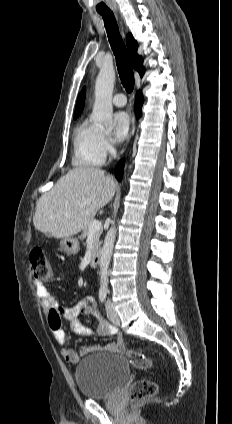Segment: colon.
<instances>
[{"label":"colon","mask_w":232,"mask_h":424,"mask_svg":"<svg viewBox=\"0 0 232 424\" xmlns=\"http://www.w3.org/2000/svg\"><path fill=\"white\" fill-rule=\"evenodd\" d=\"M30 263L34 278L40 281H51L54 278V268L43 250H32L30 253ZM127 356L131 364L138 369L151 370L154 367L153 361L140 352L128 350ZM157 390L158 386L155 380H137L130 387V399L137 401L150 398L157 393Z\"/></svg>","instance_id":"colon-1"}]
</instances>
